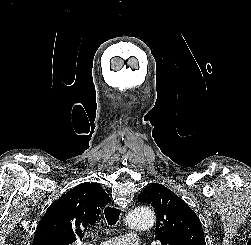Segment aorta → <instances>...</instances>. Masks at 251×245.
<instances>
[{
    "label": "aorta",
    "instance_id": "aorta-1",
    "mask_svg": "<svg viewBox=\"0 0 251 245\" xmlns=\"http://www.w3.org/2000/svg\"><path fill=\"white\" fill-rule=\"evenodd\" d=\"M155 223L154 212L145 206L133 209L127 219V226L133 230H146Z\"/></svg>",
    "mask_w": 251,
    "mask_h": 245
}]
</instances>
